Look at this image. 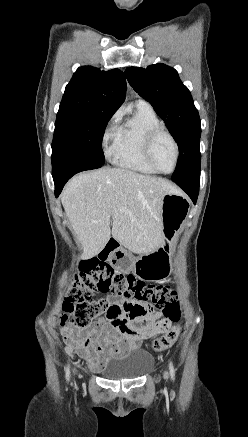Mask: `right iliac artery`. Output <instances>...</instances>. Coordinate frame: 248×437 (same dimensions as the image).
<instances>
[{
    "label": "right iliac artery",
    "instance_id": "right-iliac-artery-1",
    "mask_svg": "<svg viewBox=\"0 0 248 437\" xmlns=\"http://www.w3.org/2000/svg\"><path fill=\"white\" fill-rule=\"evenodd\" d=\"M69 373H70V369H69V366L66 368V377H67V380L69 379Z\"/></svg>",
    "mask_w": 248,
    "mask_h": 437
}]
</instances>
